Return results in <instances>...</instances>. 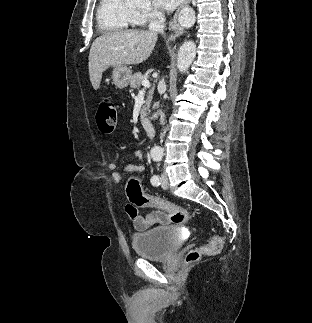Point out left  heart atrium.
I'll use <instances>...</instances> for the list:
<instances>
[{"label":"left heart atrium","instance_id":"obj_1","mask_svg":"<svg viewBox=\"0 0 312 323\" xmlns=\"http://www.w3.org/2000/svg\"><path fill=\"white\" fill-rule=\"evenodd\" d=\"M183 3L184 0H153V6L161 8L162 12H175Z\"/></svg>","mask_w":312,"mask_h":323}]
</instances>
